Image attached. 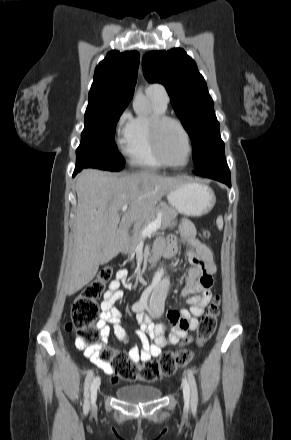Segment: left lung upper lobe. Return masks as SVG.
Masks as SVG:
<instances>
[{"mask_svg": "<svg viewBox=\"0 0 291 440\" xmlns=\"http://www.w3.org/2000/svg\"><path fill=\"white\" fill-rule=\"evenodd\" d=\"M142 66L148 82L166 87L176 115L190 135L195 170L224 154L214 103L194 60L183 49L174 48L148 52Z\"/></svg>", "mask_w": 291, "mask_h": 440, "instance_id": "1", "label": "left lung upper lobe"}]
</instances>
